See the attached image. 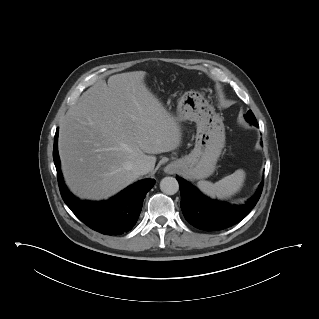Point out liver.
Wrapping results in <instances>:
<instances>
[{"mask_svg":"<svg viewBox=\"0 0 319 319\" xmlns=\"http://www.w3.org/2000/svg\"><path fill=\"white\" fill-rule=\"evenodd\" d=\"M145 71L112 75L83 93L60 123L64 179L85 199H107L136 181L132 167L181 143V127L148 89Z\"/></svg>","mask_w":319,"mask_h":319,"instance_id":"obj_1","label":"liver"}]
</instances>
